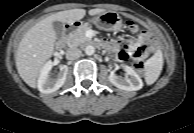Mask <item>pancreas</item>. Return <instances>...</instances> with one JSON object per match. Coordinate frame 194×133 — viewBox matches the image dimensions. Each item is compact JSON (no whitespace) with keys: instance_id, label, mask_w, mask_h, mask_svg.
<instances>
[{"instance_id":"1","label":"pancreas","mask_w":194,"mask_h":133,"mask_svg":"<svg viewBox=\"0 0 194 133\" xmlns=\"http://www.w3.org/2000/svg\"><path fill=\"white\" fill-rule=\"evenodd\" d=\"M91 28L89 24H83L78 27L75 31L71 32L66 37L67 45L70 47L84 46L90 43V38L85 35V32Z\"/></svg>"}]
</instances>
